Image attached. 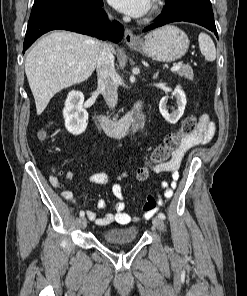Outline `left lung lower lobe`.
<instances>
[{
  "mask_svg": "<svg viewBox=\"0 0 247 296\" xmlns=\"http://www.w3.org/2000/svg\"><path fill=\"white\" fill-rule=\"evenodd\" d=\"M162 13L156 18V22L143 32L160 27L162 25L186 21L196 23L214 32L218 38L214 15L210 0H179L176 2L166 0Z\"/></svg>",
  "mask_w": 247,
  "mask_h": 296,
  "instance_id": "obj_1",
  "label": "left lung lower lobe"
}]
</instances>
